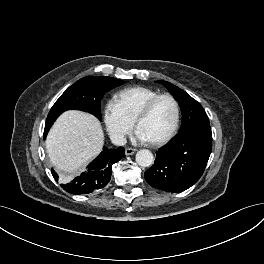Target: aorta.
Listing matches in <instances>:
<instances>
[{"mask_svg": "<svg viewBox=\"0 0 264 264\" xmlns=\"http://www.w3.org/2000/svg\"><path fill=\"white\" fill-rule=\"evenodd\" d=\"M153 160L152 152L147 149L140 150L136 154V162L142 167L150 166L153 163Z\"/></svg>", "mask_w": 264, "mask_h": 264, "instance_id": "aorta-1", "label": "aorta"}]
</instances>
